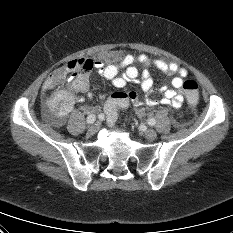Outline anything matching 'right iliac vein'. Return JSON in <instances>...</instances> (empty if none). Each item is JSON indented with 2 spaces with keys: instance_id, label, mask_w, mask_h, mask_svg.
<instances>
[{
  "instance_id": "1",
  "label": "right iliac vein",
  "mask_w": 233,
  "mask_h": 233,
  "mask_svg": "<svg viewBox=\"0 0 233 233\" xmlns=\"http://www.w3.org/2000/svg\"><path fill=\"white\" fill-rule=\"evenodd\" d=\"M98 128H99V124H94V125H92V126L88 129L87 134L90 135V136L94 135V134L98 131Z\"/></svg>"
}]
</instances>
